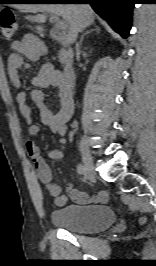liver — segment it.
Segmentation results:
<instances>
[{
	"instance_id": "liver-1",
	"label": "liver",
	"mask_w": 156,
	"mask_h": 266,
	"mask_svg": "<svg viewBox=\"0 0 156 266\" xmlns=\"http://www.w3.org/2000/svg\"><path fill=\"white\" fill-rule=\"evenodd\" d=\"M21 9L32 13L47 12L61 16L67 23L68 39L70 42L76 40L79 32L90 26L95 19L93 9L87 4H19ZM26 18L31 21L45 22L43 15H28Z\"/></svg>"
}]
</instances>
